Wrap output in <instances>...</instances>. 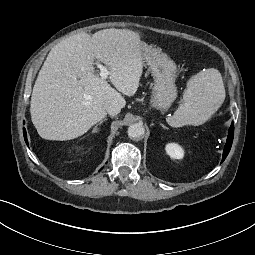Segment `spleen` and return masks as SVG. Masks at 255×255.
I'll use <instances>...</instances> for the list:
<instances>
[{
    "mask_svg": "<svg viewBox=\"0 0 255 255\" xmlns=\"http://www.w3.org/2000/svg\"><path fill=\"white\" fill-rule=\"evenodd\" d=\"M225 99L222 76L217 69L199 72L187 82L183 102L167 122L172 127L205 123Z\"/></svg>",
    "mask_w": 255,
    "mask_h": 255,
    "instance_id": "1",
    "label": "spleen"
}]
</instances>
